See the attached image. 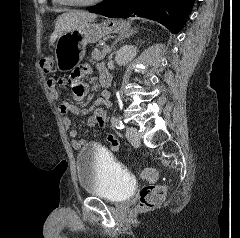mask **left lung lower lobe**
Masks as SVG:
<instances>
[{"mask_svg": "<svg viewBox=\"0 0 240 238\" xmlns=\"http://www.w3.org/2000/svg\"><path fill=\"white\" fill-rule=\"evenodd\" d=\"M195 0H104L89 9L106 17L139 16L155 20L176 34L185 24Z\"/></svg>", "mask_w": 240, "mask_h": 238, "instance_id": "left-lung-lower-lobe-1", "label": "left lung lower lobe"}]
</instances>
